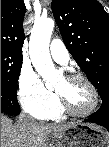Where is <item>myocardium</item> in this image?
<instances>
[{
	"label": "myocardium",
	"instance_id": "obj_1",
	"mask_svg": "<svg viewBox=\"0 0 109 147\" xmlns=\"http://www.w3.org/2000/svg\"><path fill=\"white\" fill-rule=\"evenodd\" d=\"M65 78L68 82H74L78 80L85 82L93 93L94 101L90 109L83 112L77 111L72 107L69 99L64 94L56 91V95L58 97L60 107L66 113L76 117H86L94 113L96 109L98 108L100 97H99V92L97 88L95 87V85L92 83V81L88 77L78 73L69 74Z\"/></svg>",
	"mask_w": 109,
	"mask_h": 147
}]
</instances>
